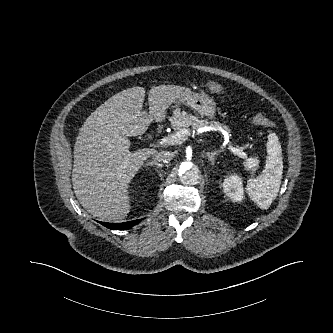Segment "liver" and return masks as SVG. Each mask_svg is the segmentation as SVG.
Wrapping results in <instances>:
<instances>
[{"label": "liver", "instance_id": "liver-1", "mask_svg": "<svg viewBox=\"0 0 333 333\" xmlns=\"http://www.w3.org/2000/svg\"><path fill=\"white\" fill-rule=\"evenodd\" d=\"M191 90L159 85L148 94L149 115L142 111L145 88L123 90L101 104L80 128L74 146L73 189L80 204L103 221H120L130 212L128 185L155 150L131 152L127 137L145 133L155 119Z\"/></svg>", "mask_w": 333, "mask_h": 333}]
</instances>
